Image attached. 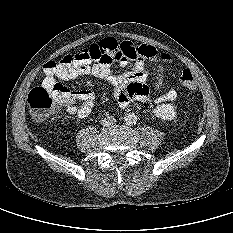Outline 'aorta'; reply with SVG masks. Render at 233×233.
Masks as SVG:
<instances>
[{"mask_svg":"<svg viewBox=\"0 0 233 233\" xmlns=\"http://www.w3.org/2000/svg\"><path fill=\"white\" fill-rule=\"evenodd\" d=\"M124 122L127 125L132 126V125L136 124L137 116L134 113H127L124 117Z\"/></svg>","mask_w":233,"mask_h":233,"instance_id":"1","label":"aorta"}]
</instances>
